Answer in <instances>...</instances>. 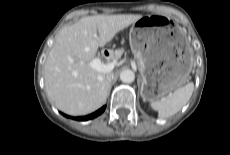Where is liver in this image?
<instances>
[{
	"instance_id": "liver-1",
	"label": "liver",
	"mask_w": 230,
	"mask_h": 155,
	"mask_svg": "<svg viewBox=\"0 0 230 155\" xmlns=\"http://www.w3.org/2000/svg\"><path fill=\"white\" fill-rule=\"evenodd\" d=\"M139 14L96 15L62 28L44 65L48 97L61 111L85 115L100 108L108 96L109 73L90 66L99 47L140 19Z\"/></svg>"
}]
</instances>
